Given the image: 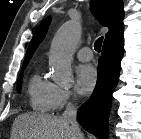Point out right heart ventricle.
Returning a JSON list of instances; mask_svg holds the SVG:
<instances>
[{
	"label": "right heart ventricle",
	"mask_w": 141,
	"mask_h": 139,
	"mask_svg": "<svg viewBox=\"0 0 141 139\" xmlns=\"http://www.w3.org/2000/svg\"><path fill=\"white\" fill-rule=\"evenodd\" d=\"M55 84L43 78L39 73H34L28 82L27 94L30 107L41 113L52 110Z\"/></svg>",
	"instance_id": "obj_1"
}]
</instances>
